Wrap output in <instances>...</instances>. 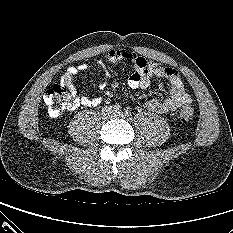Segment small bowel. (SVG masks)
Returning <instances> with one entry per match:
<instances>
[{
	"instance_id": "small-bowel-1",
	"label": "small bowel",
	"mask_w": 233,
	"mask_h": 233,
	"mask_svg": "<svg viewBox=\"0 0 233 233\" xmlns=\"http://www.w3.org/2000/svg\"><path fill=\"white\" fill-rule=\"evenodd\" d=\"M106 60L113 64L128 61L133 64L134 71L128 78L131 89L147 88L155 79H165L170 84V93L166 99L152 98L145 103V108L156 113H168L179 107L190 104L191 98L185 91L184 84L178 72L172 68L148 60L127 49L110 50L105 55ZM87 69L86 64L71 66L61 78V85L71 93L73 100L69 107L72 110L85 107H96L101 104V97L78 96V89L74 83V76ZM109 83L106 77L101 83V89H105Z\"/></svg>"
}]
</instances>
